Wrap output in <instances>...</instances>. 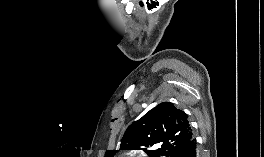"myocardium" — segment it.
Returning a JSON list of instances; mask_svg holds the SVG:
<instances>
[{
  "mask_svg": "<svg viewBox=\"0 0 264 157\" xmlns=\"http://www.w3.org/2000/svg\"><path fill=\"white\" fill-rule=\"evenodd\" d=\"M132 157H141V156H132Z\"/></svg>",
  "mask_w": 264,
  "mask_h": 157,
  "instance_id": "myocardium-1",
  "label": "myocardium"
}]
</instances>
